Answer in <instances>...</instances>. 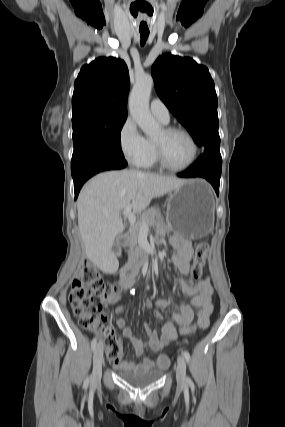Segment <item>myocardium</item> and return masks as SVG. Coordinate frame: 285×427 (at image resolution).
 <instances>
[{
  "mask_svg": "<svg viewBox=\"0 0 285 427\" xmlns=\"http://www.w3.org/2000/svg\"><path fill=\"white\" fill-rule=\"evenodd\" d=\"M163 133L166 136L174 134V133L184 134L192 144L193 153H192L190 160L186 164H184L183 166H172L165 159L162 144L157 142V141H153L157 163L162 168L169 170V171H173V172H181V171H185V170L189 169L196 162V160L198 158V154H199V146H198V143H197L196 139L194 138V136L191 134V132L189 130H187L183 127H180V126L165 127V128H163Z\"/></svg>",
  "mask_w": 285,
  "mask_h": 427,
  "instance_id": "myocardium-1",
  "label": "myocardium"
}]
</instances>
